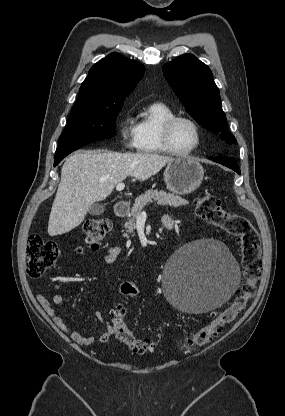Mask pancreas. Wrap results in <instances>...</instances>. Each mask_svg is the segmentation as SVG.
Masks as SVG:
<instances>
[{"instance_id": "pancreas-1", "label": "pancreas", "mask_w": 285, "mask_h": 416, "mask_svg": "<svg viewBox=\"0 0 285 416\" xmlns=\"http://www.w3.org/2000/svg\"><path fill=\"white\" fill-rule=\"evenodd\" d=\"M149 202H156L158 206H173V208H179V206H186L189 204L187 200H183L180 196H174V194H167V192H162V190H148L145 194H141L136 198L133 208L130 212V220L125 222L123 228H126V234H123L124 238H128L129 234H133L136 224L135 220L140 216L144 206L149 204Z\"/></svg>"}]
</instances>
